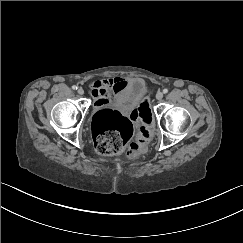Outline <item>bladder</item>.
Wrapping results in <instances>:
<instances>
[{"label":"bladder","instance_id":"31cf9c89","mask_svg":"<svg viewBox=\"0 0 243 243\" xmlns=\"http://www.w3.org/2000/svg\"><path fill=\"white\" fill-rule=\"evenodd\" d=\"M146 92L145 80L141 77H131L120 92L115 94L109 105L121 110H131L141 103Z\"/></svg>","mask_w":243,"mask_h":243}]
</instances>
